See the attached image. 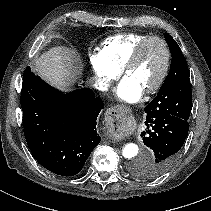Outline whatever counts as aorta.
<instances>
[{
  "label": "aorta",
  "instance_id": "762f6f07",
  "mask_svg": "<svg viewBox=\"0 0 211 211\" xmlns=\"http://www.w3.org/2000/svg\"><path fill=\"white\" fill-rule=\"evenodd\" d=\"M139 148L134 143L126 144L122 149V155L126 159H133L138 155Z\"/></svg>",
  "mask_w": 211,
  "mask_h": 211
}]
</instances>
